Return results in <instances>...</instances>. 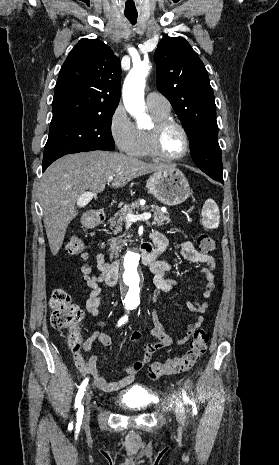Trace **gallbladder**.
<instances>
[{
  "label": "gallbladder",
  "instance_id": "obj_1",
  "mask_svg": "<svg viewBox=\"0 0 279 465\" xmlns=\"http://www.w3.org/2000/svg\"><path fill=\"white\" fill-rule=\"evenodd\" d=\"M79 205H80V206H83V205H84V201H83V200H80V201H79Z\"/></svg>",
  "mask_w": 279,
  "mask_h": 465
}]
</instances>
